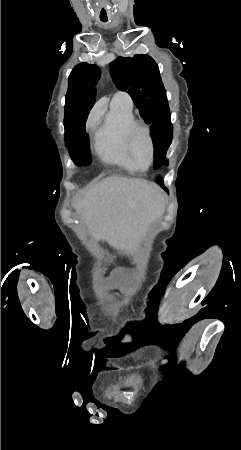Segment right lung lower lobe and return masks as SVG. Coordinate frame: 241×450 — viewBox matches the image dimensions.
Masks as SVG:
<instances>
[{"label": "right lung lower lobe", "instance_id": "1", "mask_svg": "<svg viewBox=\"0 0 241 450\" xmlns=\"http://www.w3.org/2000/svg\"><path fill=\"white\" fill-rule=\"evenodd\" d=\"M88 113L89 111L84 112L77 118V120L73 124L71 132L68 136V140L72 141L70 155H72L74 152H81L89 148L85 133V121L87 119Z\"/></svg>", "mask_w": 241, "mask_h": 450}]
</instances>
